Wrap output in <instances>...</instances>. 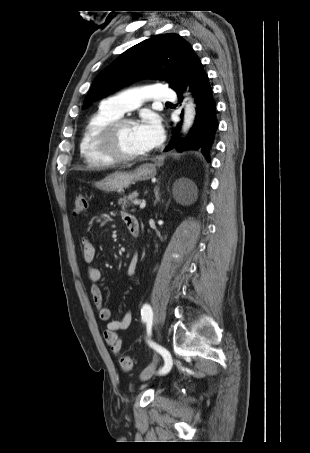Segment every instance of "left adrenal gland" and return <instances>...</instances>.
Listing matches in <instances>:
<instances>
[{"label":"left adrenal gland","instance_id":"left-adrenal-gland-1","mask_svg":"<svg viewBox=\"0 0 310 453\" xmlns=\"http://www.w3.org/2000/svg\"><path fill=\"white\" fill-rule=\"evenodd\" d=\"M154 192H155V197H156V202L159 201V187L156 186V188L154 189Z\"/></svg>","mask_w":310,"mask_h":453}]
</instances>
